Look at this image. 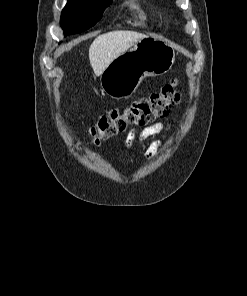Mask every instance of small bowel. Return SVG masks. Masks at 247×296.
Segmentation results:
<instances>
[{"label":"small bowel","instance_id":"small-bowel-1","mask_svg":"<svg viewBox=\"0 0 247 296\" xmlns=\"http://www.w3.org/2000/svg\"><path fill=\"white\" fill-rule=\"evenodd\" d=\"M173 120V118L171 119V121ZM171 121L169 123H167L166 125L163 123H156L152 126H149L147 128H145L142 132L138 133L137 130L132 129L127 136L126 139V144L129 146L131 145L135 140H146L158 133H160L163 130L169 129L172 125ZM163 146V141L162 140H155L153 141L149 148L147 149L146 152V156L149 160L154 159L159 153L160 150Z\"/></svg>","mask_w":247,"mask_h":296}]
</instances>
